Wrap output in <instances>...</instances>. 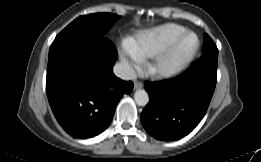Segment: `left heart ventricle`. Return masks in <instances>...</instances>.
<instances>
[{
	"label": "left heart ventricle",
	"instance_id": "1",
	"mask_svg": "<svg viewBox=\"0 0 261 162\" xmlns=\"http://www.w3.org/2000/svg\"><path fill=\"white\" fill-rule=\"evenodd\" d=\"M194 43H195L194 36L190 35L186 37L178 49L177 58L182 57L186 52H188L192 48Z\"/></svg>",
	"mask_w": 261,
	"mask_h": 162
}]
</instances>
